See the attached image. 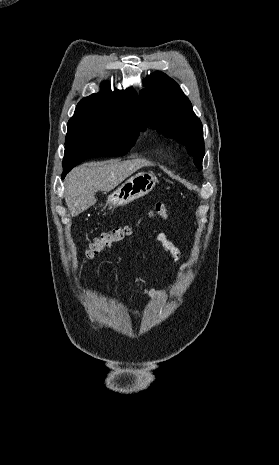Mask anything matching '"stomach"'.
<instances>
[{
	"mask_svg": "<svg viewBox=\"0 0 279 465\" xmlns=\"http://www.w3.org/2000/svg\"><path fill=\"white\" fill-rule=\"evenodd\" d=\"M156 183H158V180L152 173H137L108 196L106 206L110 208L124 206L148 194L153 190Z\"/></svg>",
	"mask_w": 279,
	"mask_h": 465,
	"instance_id": "0dacf381",
	"label": "stomach"
}]
</instances>
